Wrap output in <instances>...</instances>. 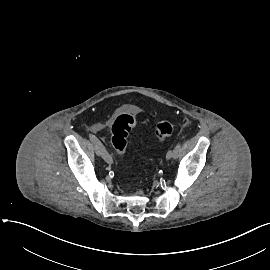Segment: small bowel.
<instances>
[{"label": "small bowel", "mask_w": 270, "mask_h": 270, "mask_svg": "<svg viewBox=\"0 0 270 270\" xmlns=\"http://www.w3.org/2000/svg\"><path fill=\"white\" fill-rule=\"evenodd\" d=\"M93 129H94V130H101L102 127H101L100 125H95V126L93 127Z\"/></svg>", "instance_id": "1"}]
</instances>
